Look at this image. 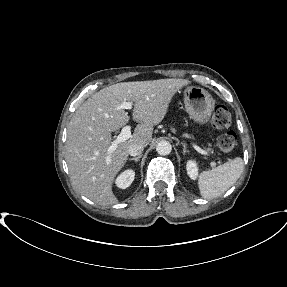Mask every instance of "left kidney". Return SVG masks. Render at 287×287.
<instances>
[{"label":"left kidney","instance_id":"obj_1","mask_svg":"<svg viewBox=\"0 0 287 287\" xmlns=\"http://www.w3.org/2000/svg\"><path fill=\"white\" fill-rule=\"evenodd\" d=\"M186 170H187V174L188 176L192 179V180H196L197 176H198V167H197V163L194 160H189L186 164Z\"/></svg>","mask_w":287,"mask_h":287}]
</instances>
